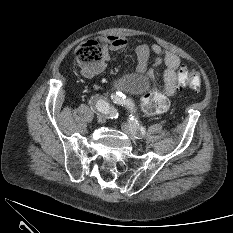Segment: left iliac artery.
I'll return each mask as SVG.
<instances>
[{
	"label": "left iliac artery",
	"mask_w": 233,
	"mask_h": 233,
	"mask_svg": "<svg viewBox=\"0 0 233 233\" xmlns=\"http://www.w3.org/2000/svg\"><path fill=\"white\" fill-rule=\"evenodd\" d=\"M111 99L113 100L114 103L126 105L129 108L133 109L134 105H133L132 101L130 99H127V97L124 94H122V92H117L116 95H112ZM131 123L137 130H140V132L143 135L145 134V129L133 117L131 118Z\"/></svg>",
	"instance_id": "left-iliac-artery-1"
}]
</instances>
